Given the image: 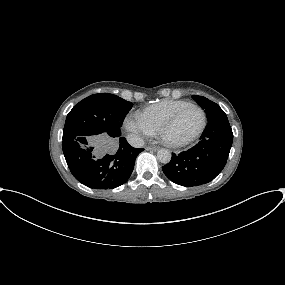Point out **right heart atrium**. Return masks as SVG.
I'll use <instances>...</instances> for the list:
<instances>
[{"label":"right heart atrium","instance_id":"1","mask_svg":"<svg viewBox=\"0 0 285 285\" xmlns=\"http://www.w3.org/2000/svg\"><path fill=\"white\" fill-rule=\"evenodd\" d=\"M124 126L135 142H141L144 136L154 134V131L138 116H127Z\"/></svg>","mask_w":285,"mask_h":285}]
</instances>
